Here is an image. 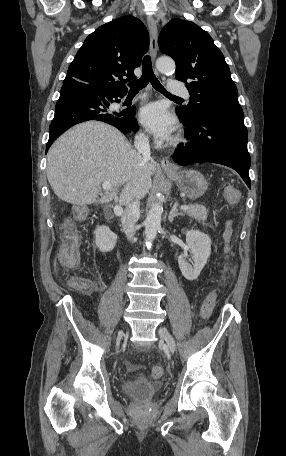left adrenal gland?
<instances>
[{"label":"left adrenal gland","instance_id":"1","mask_svg":"<svg viewBox=\"0 0 286 456\" xmlns=\"http://www.w3.org/2000/svg\"><path fill=\"white\" fill-rule=\"evenodd\" d=\"M177 202L174 203L170 213H169V216H168V220L172 223L174 218L177 217V216H183L184 213L182 212H178V209H177Z\"/></svg>","mask_w":286,"mask_h":456}]
</instances>
